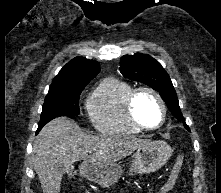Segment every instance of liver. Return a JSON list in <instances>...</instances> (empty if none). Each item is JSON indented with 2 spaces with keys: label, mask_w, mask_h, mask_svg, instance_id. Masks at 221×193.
<instances>
[{
  "label": "liver",
  "mask_w": 221,
  "mask_h": 193,
  "mask_svg": "<svg viewBox=\"0 0 221 193\" xmlns=\"http://www.w3.org/2000/svg\"><path fill=\"white\" fill-rule=\"evenodd\" d=\"M148 140L127 135L86 134L69 118L51 120L39 132L32 153L43 193H59L63 174L79 160L110 165L127 157Z\"/></svg>",
  "instance_id": "obj_1"
}]
</instances>
